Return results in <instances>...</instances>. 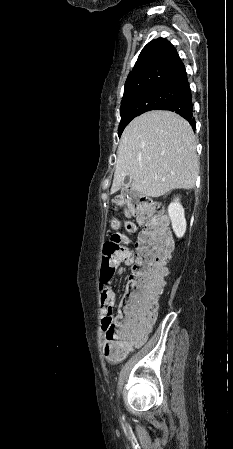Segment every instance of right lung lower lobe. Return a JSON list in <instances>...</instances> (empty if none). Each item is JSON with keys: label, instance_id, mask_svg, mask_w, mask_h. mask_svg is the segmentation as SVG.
<instances>
[{"label": "right lung lower lobe", "instance_id": "98d812e1", "mask_svg": "<svg viewBox=\"0 0 233 449\" xmlns=\"http://www.w3.org/2000/svg\"><path fill=\"white\" fill-rule=\"evenodd\" d=\"M182 97L175 100L166 103L159 109L161 110H169L172 112H176L183 118H185L193 129H195V119L193 117L194 110H193V104L191 99V91L189 87V83L185 85L182 89Z\"/></svg>", "mask_w": 233, "mask_h": 449}]
</instances>
